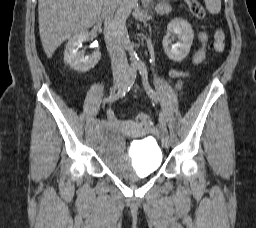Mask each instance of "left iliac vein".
Masks as SVG:
<instances>
[{
	"mask_svg": "<svg viewBox=\"0 0 256 228\" xmlns=\"http://www.w3.org/2000/svg\"><path fill=\"white\" fill-rule=\"evenodd\" d=\"M161 142H162L164 147H166V148L170 147L171 140H170V137H169L168 133L162 132Z\"/></svg>",
	"mask_w": 256,
	"mask_h": 228,
	"instance_id": "obj_1",
	"label": "left iliac vein"
}]
</instances>
